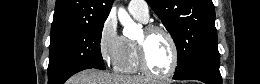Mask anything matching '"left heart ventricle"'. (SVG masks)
<instances>
[{"label":"left heart ventricle","mask_w":260,"mask_h":84,"mask_svg":"<svg viewBox=\"0 0 260 84\" xmlns=\"http://www.w3.org/2000/svg\"><path fill=\"white\" fill-rule=\"evenodd\" d=\"M144 32L138 40L144 39L146 49V59L150 68L156 73H166L171 66V46L161 32H155L144 37Z\"/></svg>","instance_id":"obj_1"}]
</instances>
